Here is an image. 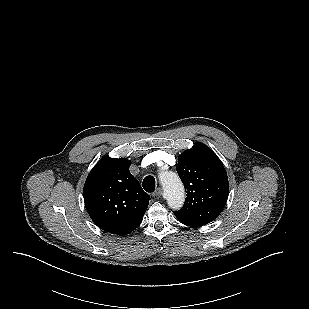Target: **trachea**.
I'll return each mask as SVG.
<instances>
[{"instance_id": "3493384b", "label": "trachea", "mask_w": 309, "mask_h": 309, "mask_svg": "<svg viewBox=\"0 0 309 309\" xmlns=\"http://www.w3.org/2000/svg\"><path fill=\"white\" fill-rule=\"evenodd\" d=\"M142 186L146 192H153L155 190V178L153 176H146L143 180Z\"/></svg>"}]
</instances>
